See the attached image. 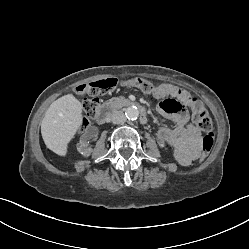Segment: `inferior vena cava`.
<instances>
[{
	"instance_id": "602c4592",
	"label": "inferior vena cava",
	"mask_w": 249,
	"mask_h": 249,
	"mask_svg": "<svg viewBox=\"0 0 249 249\" xmlns=\"http://www.w3.org/2000/svg\"><path fill=\"white\" fill-rule=\"evenodd\" d=\"M111 121L113 124H121L126 121V116L122 111H114L111 115Z\"/></svg>"
}]
</instances>
